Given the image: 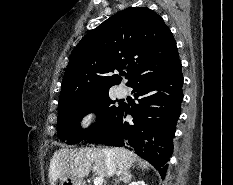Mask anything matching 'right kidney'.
Listing matches in <instances>:
<instances>
[{
  "instance_id": "right-kidney-1",
  "label": "right kidney",
  "mask_w": 233,
  "mask_h": 185,
  "mask_svg": "<svg viewBox=\"0 0 233 185\" xmlns=\"http://www.w3.org/2000/svg\"><path fill=\"white\" fill-rule=\"evenodd\" d=\"M129 185H146V184L144 183V181H136V182L130 183Z\"/></svg>"
}]
</instances>
